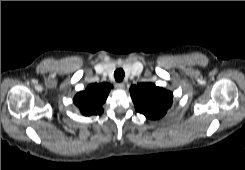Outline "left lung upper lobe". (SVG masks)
<instances>
[{
  "instance_id": "5c2ea615",
  "label": "left lung upper lobe",
  "mask_w": 245,
  "mask_h": 170,
  "mask_svg": "<svg viewBox=\"0 0 245 170\" xmlns=\"http://www.w3.org/2000/svg\"><path fill=\"white\" fill-rule=\"evenodd\" d=\"M137 112L149 119L164 116L172 105L173 93L152 83H140L130 88Z\"/></svg>"
}]
</instances>
